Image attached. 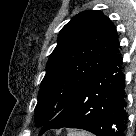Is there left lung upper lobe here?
<instances>
[{
    "label": "left lung upper lobe",
    "mask_w": 136,
    "mask_h": 136,
    "mask_svg": "<svg viewBox=\"0 0 136 136\" xmlns=\"http://www.w3.org/2000/svg\"><path fill=\"white\" fill-rule=\"evenodd\" d=\"M116 39L114 24L97 10L79 13L62 28L39 89L35 108L38 127L47 124L56 116L55 112L72 101L103 64Z\"/></svg>",
    "instance_id": "obj_1"
}]
</instances>
